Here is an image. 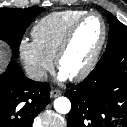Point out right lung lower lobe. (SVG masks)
<instances>
[{
  "label": "right lung lower lobe",
  "instance_id": "1",
  "mask_svg": "<svg viewBox=\"0 0 127 127\" xmlns=\"http://www.w3.org/2000/svg\"><path fill=\"white\" fill-rule=\"evenodd\" d=\"M50 86L28 79L15 61L0 75V127H32L50 100Z\"/></svg>",
  "mask_w": 127,
  "mask_h": 127
}]
</instances>
